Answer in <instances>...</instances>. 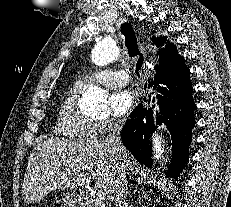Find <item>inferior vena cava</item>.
I'll use <instances>...</instances> for the list:
<instances>
[{"label":"inferior vena cava","instance_id":"602c4592","mask_svg":"<svg viewBox=\"0 0 231 207\" xmlns=\"http://www.w3.org/2000/svg\"><path fill=\"white\" fill-rule=\"evenodd\" d=\"M122 123L118 120H111L108 123L107 137L105 143L111 147L113 153L118 158L116 182L113 188V198L116 207H127L128 181H127V152L121 143L120 132Z\"/></svg>","mask_w":231,"mask_h":207}]
</instances>
